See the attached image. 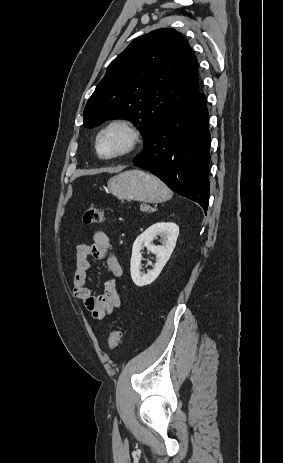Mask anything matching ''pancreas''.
<instances>
[{"mask_svg":"<svg viewBox=\"0 0 283 463\" xmlns=\"http://www.w3.org/2000/svg\"><path fill=\"white\" fill-rule=\"evenodd\" d=\"M140 210L142 212H153L154 211L153 208H151L149 205H145V204L140 206Z\"/></svg>","mask_w":283,"mask_h":463,"instance_id":"cf45deb5","label":"pancreas"}]
</instances>
